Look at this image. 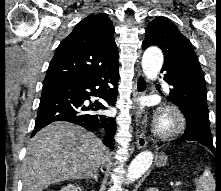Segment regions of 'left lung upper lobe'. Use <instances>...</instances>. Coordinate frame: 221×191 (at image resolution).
Here are the masks:
<instances>
[{
	"instance_id": "left-lung-upper-lobe-1",
	"label": "left lung upper lobe",
	"mask_w": 221,
	"mask_h": 191,
	"mask_svg": "<svg viewBox=\"0 0 221 191\" xmlns=\"http://www.w3.org/2000/svg\"><path fill=\"white\" fill-rule=\"evenodd\" d=\"M149 46L162 49L165 58L162 69H179L187 65L190 59L198 60L190 41L166 18L158 17L148 24L142 47L146 49ZM197 142L213 149L210 126L206 137Z\"/></svg>"
}]
</instances>
